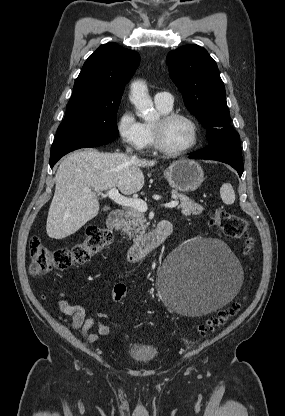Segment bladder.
<instances>
[{
    "instance_id": "obj_1",
    "label": "bladder",
    "mask_w": 285,
    "mask_h": 416,
    "mask_svg": "<svg viewBox=\"0 0 285 416\" xmlns=\"http://www.w3.org/2000/svg\"><path fill=\"white\" fill-rule=\"evenodd\" d=\"M128 354L136 359L138 363L151 362L158 356L155 346L144 347L142 345L132 346Z\"/></svg>"
}]
</instances>
